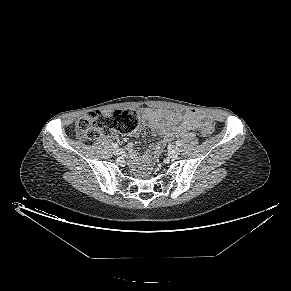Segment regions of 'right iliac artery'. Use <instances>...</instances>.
<instances>
[{
  "label": "right iliac artery",
  "instance_id": "1",
  "mask_svg": "<svg viewBox=\"0 0 291 291\" xmlns=\"http://www.w3.org/2000/svg\"><path fill=\"white\" fill-rule=\"evenodd\" d=\"M117 147H118V144H117V143H114V144H113V148L116 149Z\"/></svg>",
  "mask_w": 291,
  "mask_h": 291
}]
</instances>
